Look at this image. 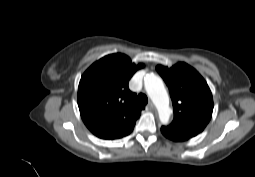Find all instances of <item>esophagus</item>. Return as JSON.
Wrapping results in <instances>:
<instances>
[{"label":"esophagus","instance_id":"esophagus-1","mask_svg":"<svg viewBox=\"0 0 255 177\" xmlns=\"http://www.w3.org/2000/svg\"><path fill=\"white\" fill-rule=\"evenodd\" d=\"M155 106L152 102H149L148 105H147V109L149 110H154Z\"/></svg>","mask_w":255,"mask_h":177}]
</instances>
